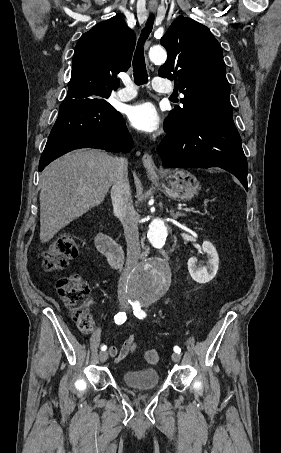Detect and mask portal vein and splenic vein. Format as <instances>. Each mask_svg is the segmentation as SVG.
<instances>
[{"mask_svg": "<svg viewBox=\"0 0 281 453\" xmlns=\"http://www.w3.org/2000/svg\"><path fill=\"white\" fill-rule=\"evenodd\" d=\"M175 211H176V212H184V213H185V212H187V213H188V212H191V213H200V212L202 213V212H203L202 210H201V211H200V210H195L194 207H188V206H187V207H185V206H184V207H181L180 205H179V206H178V205L176 206Z\"/></svg>", "mask_w": 281, "mask_h": 453, "instance_id": "obj_1", "label": "portal vein and splenic vein"}]
</instances>
